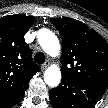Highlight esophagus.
Listing matches in <instances>:
<instances>
[{"label":"esophagus","instance_id":"34e87169","mask_svg":"<svg viewBox=\"0 0 108 108\" xmlns=\"http://www.w3.org/2000/svg\"><path fill=\"white\" fill-rule=\"evenodd\" d=\"M49 66V61L45 62L44 64L41 65V69L45 70Z\"/></svg>","mask_w":108,"mask_h":108}]
</instances>
